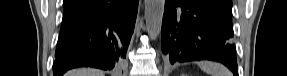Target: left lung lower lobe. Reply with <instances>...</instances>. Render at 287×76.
I'll return each instance as SVG.
<instances>
[{
	"mask_svg": "<svg viewBox=\"0 0 287 76\" xmlns=\"http://www.w3.org/2000/svg\"><path fill=\"white\" fill-rule=\"evenodd\" d=\"M233 36L232 18L209 3L165 0L161 48L171 64L215 60L226 65L237 76Z\"/></svg>",
	"mask_w": 287,
	"mask_h": 76,
	"instance_id": "obj_1",
	"label": "left lung lower lobe"
}]
</instances>
